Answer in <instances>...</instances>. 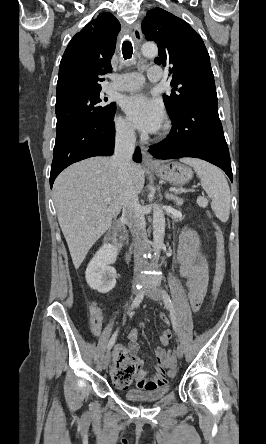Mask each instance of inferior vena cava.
<instances>
[{
    "label": "inferior vena cava",
    "instance_id": "602c4592",
    "mask_svg": "<svg viewBox=\"0 0 266 444\" xmlns=\"http://www.w3.org/2000/svg\"><path fill=\"white\" fill-rule=\"evenodd\" d=\"M135 142V130L132 126H124L117 131L113 160L118 165L120 173L125 176H129L131 172ZM122 217L133 237L135 269H145L147 262L142 258V251L147 248L148 244L145 218L141 212L138 195L133 188H127L125 191Z\"/></svg>",
    "mask_w": 266,
    "mask_h": 444
}]
</instances>
